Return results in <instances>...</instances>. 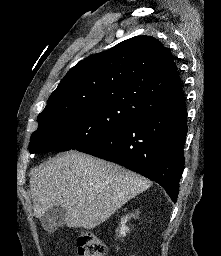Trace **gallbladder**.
Wrapping results in <instances>:
<instances>
[{
  "instance_id": "gallbladder-1",
  "label": "gallbladder",
  "mask_w": 221,
  "mask_h": 256,
  "mask_svg": "<svg viewBox=\"0 0 221 256\" xmlns=\"http://www.w3.org/2000/svg\"><path fill=\"white\" fill-rule=\"evenodd\" d=\"M65 213V208L61 206H53L49 208L40 218L43 228L47 231H55L58 226L64 224Z\"/></svg>"
}]
</instances>
